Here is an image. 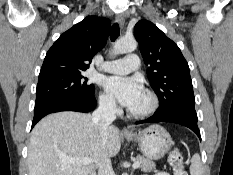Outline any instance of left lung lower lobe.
I'll return each mask as SVG.
<instances>
[{"label": "left lung lower lobe", "mask_w": 233, "mask_h": 175, "mask_svg": "<svg viewBox=\"0 0 233 175\" xmlns=\"http://www.w3.org/2000/svg\"><path fill=\"white\" fill-rule=\"evenodd\" d=\"M197 114L194 107H180L165 113H154L150 118L138 121L140 123L171 122L190 128L201 140L200 130L197 126Z\"/></svg>", "instance_id": "obj_1"}]
</instances>
